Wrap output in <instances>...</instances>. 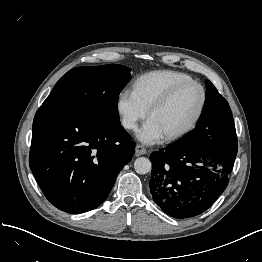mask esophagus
I'll return each instance as SVG.
<instances>
[{
    "label": "esophagus",
    "instance_id": "1",
    "mask_svg": "<svg viewBox=\"0 0 262 262\" xmlns=\"http://www.w3.org/2000/svg\"><path fill=\"white\" fill-rule=\"evenodd\" d=\"M135 151L137 155H144L147 153L146 148L140 144L136 145Z\"/></svg>",
    "mask_w": 262,
    "mask_h": 262
}]
</instances>
